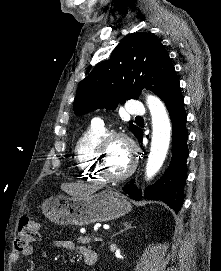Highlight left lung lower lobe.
Listing matches in <instances>:
<instances>
[{"label":"left lung lower lobe","mask_w":221,"mask_h":271,"mask_svg":"<svg viewBox=\"0 0 221 271\" xmlns=\"http://www.w3.org/2000/svg\"><path fill=\"white\" fill-rule=\"evenodd\" d=\"M172 122V159L163 177L155 184L147 187L144 198L161 200L169 205L176 213L183 204L184 185L186 182L188 157L186 129L187 115L184 110V98L181 94L180 83L175 82L162 96ZM142 142L143 132L140 130L136 135ZM134 200H141L142 195L134 181L123 188Z\"/></svg>","instance_id":"left-lung-lower-lobe-1"}]
</instances>
